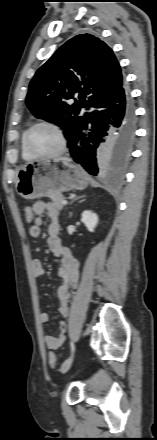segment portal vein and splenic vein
I'll return each mask as SVG.
<instances>
[{"label": "portal vein and splenic vein", "mask_w": 157, "mask_h": 440, "mask_svg": "<svg viewBox=\"0 0 157 440\" xmlns=\"http://www.w3.org/2000/svg\"><path fill=\"white\" fill-rule=\"evenodd\" d=\"M62 204H63V205H66V204H67V201H66V200H63V201H62Z\"/></svg>", "instance_id": "18ae733b"}]
</instances>
